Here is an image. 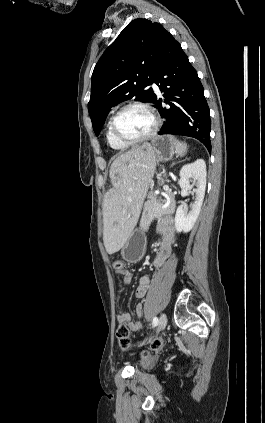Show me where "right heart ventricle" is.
I'll use <instances>...</instances> for the list:
<instances>
[{"label":"right heart ventricle","instance_id":"right-heart-ventricle-1","mask_svg":"<svg viewBox=\"0 0 265 423\" xmlns=\"http://www.w3.org/2000/svg\"><path fill=\"white\" fill-rule=\"evenodd\" d=\"M110 122H111V119L107 123V130H106V140L108 145L115 151L126 150L130 145L120 142L113 136L111 127H110Z\"/></svg>","mask_w":265,"mask_h":423}]
</instances>
